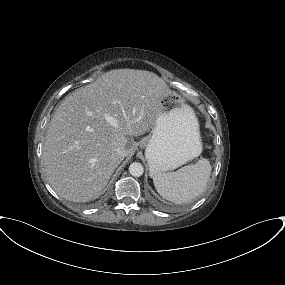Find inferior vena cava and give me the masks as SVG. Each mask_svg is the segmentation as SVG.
Segmentation results:
<instances>
[{
  "label": "inferior vena cava",
  "instance_id": "602c4592",
  "mask_svg": "<svg viewBox=\"0 0 285 285\" xmlns=\"http://www.w3.org/2000/svg\"><path fill=\"white\" fill-rule=\"evenodd\" d=\"M116 153H117V155L119 156V157H124L125 156V149L124 148H118L117 150H116Z\"/></svg>",
  "mask_w": 285,
  "mask_h": 285
}]
</instances>
